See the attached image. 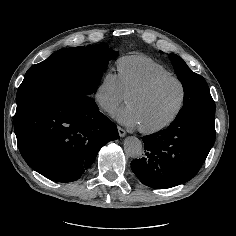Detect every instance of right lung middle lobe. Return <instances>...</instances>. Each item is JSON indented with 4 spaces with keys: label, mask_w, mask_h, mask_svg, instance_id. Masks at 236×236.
I'll return each instance as SVG.
<instances>
[{
    "label": "right lung middle lobe",
    "mask_w": 236,
    "mask_h": 236,
    "mask_svg": "<svg viewBox=\"0 0 236 236\" xmlns=\"http://www.w3.org/2000/svg\"><path fill=\"white\" fill-rule=\"evenodd\" d=\"M117 52L107 44L61 49L26 72L17 92V108L42 97L75 93L90 96Z\"/></svg>",
    "instance_id": "dd1d6c3e"
}]
</instances>
